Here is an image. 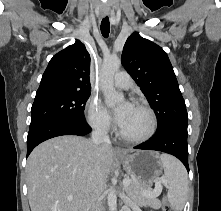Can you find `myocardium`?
Wrapping results in <instances>:
<instances>
[{
  "instance_id": "obj_1",
  "label": "myocardium",
  "mask_w": 221,
  "mask_h": 211,
  "mask_svg": "<svg viewBox=\"0 0 221 211\" xmlns=\"http://www.w3.org/2000/svg\"><path fill=\"white\" fill-rule=\"evenodd\" d=\"M132 104L142 108L148 114V116L150 118V127H149L147 133L143 136H140V137H130V136L124 134L120 128H118L117 133L120 138H122L123 140H125L127 142L136 143V144L143 143V142L148 141L155 134V131L157 128L156 115L150 106H148L146 103H144L140 100H134L132 102Z\"/></svg>"
}]
</instances>
